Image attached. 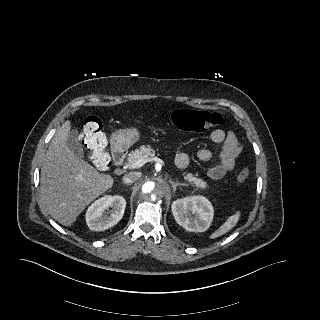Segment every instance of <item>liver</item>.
<instances>
[{
	"label": "liver",
	"mask_w": 320,
	"mask_h": 320,
	"mask_svg": "<svg viewBox=\"0 0 320 320\" xmlns=\"http://www.w3.org/2000/svg\"><path fill=\"white\" fill-rule=\"evenodd\" d=\"M70 129L71 122L66 121L57 130L40 174L42 203L51 217L64 226L72 225L86 206L114 183L110 175L100 174L68 148Z\"/></svg>",
	"instance_id": "1"
}]
</instances>
